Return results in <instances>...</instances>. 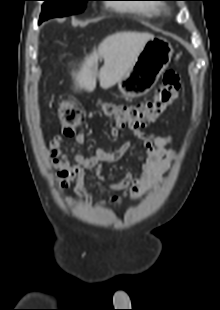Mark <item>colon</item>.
<instances>
[{
  "mask_svg": "<svg viewBox=\"0 0 220 310\" xmlns=\"http://www.w3.org/2000/svg\"><path fill=\"white\" fill-rule=\"evenodd\" d=\"M180 87L179 74L168 70L164 73L161 86L151 100L136 105L105 103L103 110L106 115L114 119L117 127H128L137 131L153 123L174 103ZM59 117L63 132L67 135H73L84 123V115L72 100L61 103Z\"/></svg>",
  "mask_w": 220,
  "mask_h": 310,
  "instance_id": "colon-1",
  "label": "colon"
}]
</instances>
